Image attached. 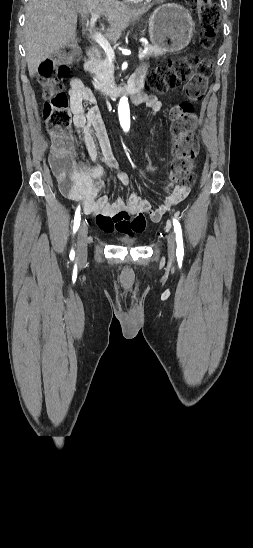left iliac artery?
Listing matches in <instances>:
<instances>
[{"label":"left iliac artery","mask_w":253,"mask_h":548,"mask_svg":"<svg viewBox=\"0 0 253 548\" xmlns=\"http://www.w3.org/2000/svg\"><path fill=\"white\" fill-rule=\"evenodd\" d=\"M173 225H174V232L176 234V242H177L176 255H177V258H183L184 247H183L181 225L177 219H173Z\"/></svg>","instance_id":"44dca946"}]
</instances>
